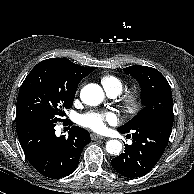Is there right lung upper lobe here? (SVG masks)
I'll use <instances>...</instances> for the list:
<instances>
[{
    "label": "right lung upper lobe",
    "mask_w": 194,
    "mask_h": 194,
    "mask_svg": "<svg viewBox=\"0 0 194 194\" xmlns=\"http://www.w3.org/2000/svg\"><path fill=\"white\" fill-rule=\"evenodd\" d=\"M43 62L51 63L64 77L74 84H79L82 78L95 70L96 67H82L64 58H51Z\"/></svg>",
    "instance_id": "cb5924a9"
}]
</instances>
